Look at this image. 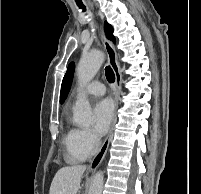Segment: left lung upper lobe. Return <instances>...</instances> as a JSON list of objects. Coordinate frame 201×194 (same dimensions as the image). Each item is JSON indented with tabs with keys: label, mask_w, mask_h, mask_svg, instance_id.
I'll return each mask as SVG.
<instances>
[{
	"label": "left lung upper lobe",
	"mask_w": 201,
	"mask_h": 194,
	"mask_svg": "<svg viewBox=\"0 0 201 194\" xmlns=\"http://www.w3.org/2000/svg\"><path fill=\"white\" fill-rule=\"evenodd\" d=\"M105 34L107 36L108 39L115 41V38L113 36V28L110 24H108L107 22H105ZM73 72H74V63H71L68 66L67 72L63 78L62 81V86H61V98H60V102L63 103L64 100L66 99L70 86H71V81H72V77H73Z\"/></svg>",
	"instance_id": "1"
}]
</instances>
